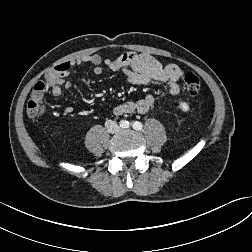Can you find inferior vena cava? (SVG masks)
I'll list each match as a JSON object with an SVG mask.
<instances>
[{
	"mask_svg": "<svg viewBox=\"0 0 252 252\" xmlns=\"http://www.w3.org/2000/svg\"><path fill=\"white\" fill-rule=\"evenodd\" d=\"M105 127L110 133H117L120 131L119 125L113 121V120H108L105 122Z\"/></svg>",
	"mask_w": 252,
	"mask_h": 252,
	"instance_id": "1",
	"label": "inferior vena cava"
}]
</instances>
